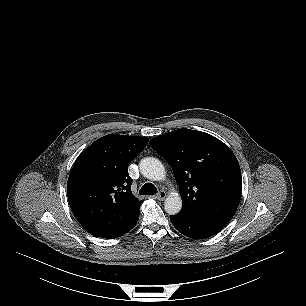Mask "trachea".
<instances>
[{"instance_id":"trachea-1","label":"trachea","mask_w":306,"mask_h":306,"mask_svg":"<svg viewBox=\"0 0 306 306\" xmlns=\"http://www.w3.org/2000/svg\"><path fill=\"white\" fill-rule=\"evenodd\" d=\"M139 193L141 195H154L157 193V188L151 183H145Z\"/></svg>"}]
</instances>
